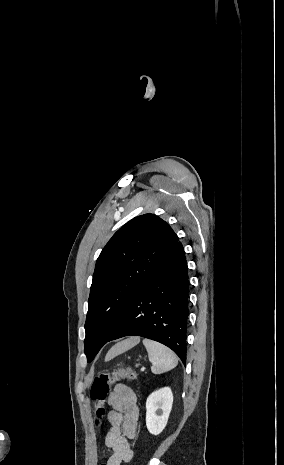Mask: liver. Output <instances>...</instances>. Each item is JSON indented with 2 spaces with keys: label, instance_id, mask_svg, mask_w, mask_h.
Listing matches in <instances>:
<instances>
[{
  "label": "liver",
  "instance_id": "liver-1",
  "mask_svg": "<svg viewBox=\"0 0 284 465\" xmlns=\"http://www.w3.org/2000/svg\"><path fill=\"white\" fill-rule=\"evenodd\" d=\"M140 341V337H130V339H125V341H120V343H116L110 351H108L105 361H111V359H114V357H117V355H121V353H125V351H129V349H132V347H135V345H138Z\"/></svg>",
  "mask_w": 284,
  "mask_h": 465
}]
</instances>
